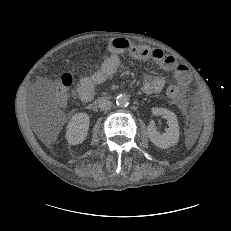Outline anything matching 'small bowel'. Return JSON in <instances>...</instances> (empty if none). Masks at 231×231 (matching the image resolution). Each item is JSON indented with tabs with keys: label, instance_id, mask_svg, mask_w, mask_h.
<instances>
[{
	"label": "small bowel",
	"instance_id": "c3829d8e",
	"mask_svg": "<svg viewBox=\"0 0 231 231\" xmlns=\"http://www.w3.org/2000/svg\"><path fill=\"white\" fill-rule=\"evenodd\" d=\"M128 54L134 59L151 60L164 70L172 71L176 81L182 89L187 88L191 81V74L186 66L180 64L173 56L160 49L140 46L126 38H115L110 42V52L102 59L101 68L90 76L82 77L77 84V94L83 102L90 101L95 95L96 88L106 83L122 64V56ZM165 86L163 78L145 75L142 91L145 94H155Z\"/></svg>",
	"mask_w": 231,
	"mask_h": 231
}]
</instances>
